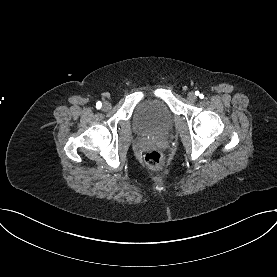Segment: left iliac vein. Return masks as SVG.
Instances as JSON below:
<instances>
[{
  "label": "left iliac vein",
  "mask_w": 277,
  "mask_h": 277,
  "mask_svg": "<svg viewBox=\"0 0 277 277\" xmlns=\"http://www.w3.org/2000/svg\"><path fill=\"white\" fill-rule=\"evenodd\" d=\"M187 98H188V100L191 101V102H194V101H196V99H197V97H196V95H195L194 92H189L188 95H187Z\"/></svg>",
  "instance_id": "1"
}]
</instances>
